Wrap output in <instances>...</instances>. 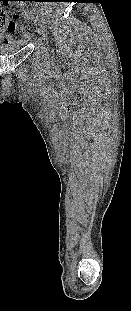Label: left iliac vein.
Segmentation results:
<instances>
[{"label":"left iliac vein","instance_id":"4c4485c4","mask_svg":"<svg viewBox=\"0 0 131 311\" xmlns=\"http://www.w3.org/2000/svg\"><path fill=\"white\" fill-rule=\"evenodd\" d=\"M40 35L44 38L47 39V34H48V29L45 25H42L40 27V31H39Z\"/></svg>","mask_w":131,"mask_h":311}]
</instances>
